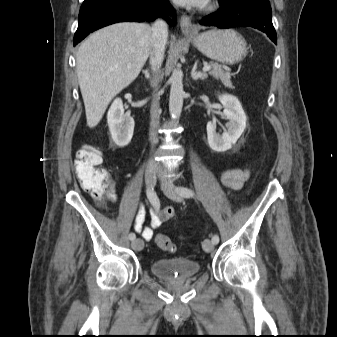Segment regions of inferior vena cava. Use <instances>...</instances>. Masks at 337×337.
I'll return each mask as SVG.
<instances>
[{
  "label": "inferior vena cava",
  "instance_id": "602c4592",
  "mask_svg": "<svg viewBox=\"0 0 337 337\" xmlns=\"http://www.w3.org/2000/svg\"><path fill=\"white\" fill-rule=\"evenodd\" d=\"M152 50L150 53V65L154 73V79L151 81V85L155 90L159 83V72L162 61L164 59V51L168 37V27L164 20L158 19L152 26ZM161 109L159 107V99L155 98L151 105V122H150V140L154 145L158 142L157 127L159 124ZM150 163H153L151 160Z\"/></svg>",
  "mask_w": 337,
  "mask_h": 337
}]
</instances>
